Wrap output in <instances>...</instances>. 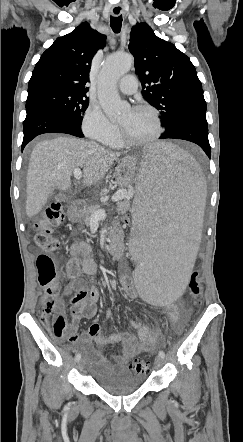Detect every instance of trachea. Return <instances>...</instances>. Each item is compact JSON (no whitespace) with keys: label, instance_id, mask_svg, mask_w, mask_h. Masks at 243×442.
<instances>
[{"label":"trachea","instance_id":"1","mask_svg":"<svg viewBox=\"0 0 243 442\" xmlns=\"http://www.w3.org/2000/svg\"><path fill=\"white\" fill-rule=\"evenodd\" d=\"M110 26L114 33H119L122 26V15L110 18Z\"/></svg>","mask_w":243,"mask_h":442}]
</instances>
